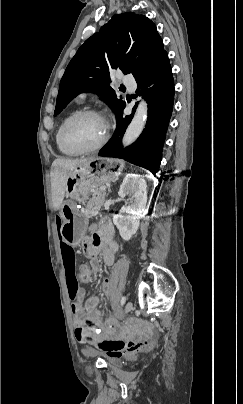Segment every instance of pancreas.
Instances as JSON below:
<instances>
[{"label": "pancreas", "instance_id": "pancreas-1", "mask_svg": "<svg viewBox=\"0 0 243 404\" xmlns=\"http://www.w3.org/2000/svg\"><path fill=\"white\" fill-rule=\"evenodd\" d=\"M101 188V186H99ZM93 196L89 202H87V206L84 208V214L88 216V218H92V216H97L99 210H101V206L104 204L105 200V192L104 190H99L98 193H92Z\"/></svg>", "mask_w": 243, "mask_h": 404}]
</instances>
